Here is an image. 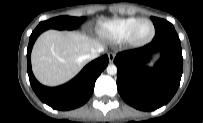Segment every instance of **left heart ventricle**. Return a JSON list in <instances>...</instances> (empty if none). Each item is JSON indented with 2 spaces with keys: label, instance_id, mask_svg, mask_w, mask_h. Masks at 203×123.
Listing matches in <instances>:
<instances>
[{
  "label": "left heart ventricle",
  "instance_id": "left-heart-ventricle-1",
  "mask_svg": "<svg viewBox=\"0 0 203 123\" xmlns=\"http://www.w3.org/2000/svg\"><path fill=\"white\" fill-rule=\"evenodd\" d=\"M152 33V26L150 23L145 22L143 23L138 31H137V38L140 40H144L146 38H148Z\"/></svg>",
  "mask_w": 203,
  "mask_h": 123
}]
</instances>
